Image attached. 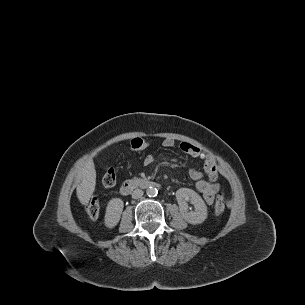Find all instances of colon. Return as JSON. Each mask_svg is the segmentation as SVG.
Here are the masks:
<instances>
[{"label":"colon","mask_w":305,"mask_h":305,"mask_svg":"<svg viewBox=\"0 0 305 305\" xmlns=\"http://www.w3.org/2000/svg\"><path fill=\"white\" fill-rule=\"evenodd\" d=\"M150 143L147 139L142 137H136L131 140L130 147L134 152H142L149 147ZM116 173L113 169L108 170L103 176L102 183L105 187L110 188L116 184ZM225 209V195L220 193L214 204V211L216 214H220ZM87 215L92 220H98L100 217V207L98 202L93 199L86 208Z\"/></svg>","instance_id":"1"}]
</instances>
